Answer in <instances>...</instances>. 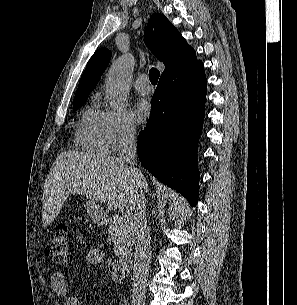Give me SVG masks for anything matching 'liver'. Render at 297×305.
Masks as SVG:
<instances>
[{
	"label": "liver",
	"instance_id": "1",
	"mask_svg": "<svg viewBox=\"0 0 297 305\" xmlns=\"http://www.w3.org/2000/svg\"><path fill=\"white\" fill-rule=\"evenodd\" d=\"M146 188L139 183L125 160L105 154L66 151L59 154L45 180L42 223L50 225L59 215L70 194L105 203L117 209L128 203L132 208L136 193Z\"/></svg>",
	"mask_w": 297,
	"mask_h": 305
}]
</instances>
